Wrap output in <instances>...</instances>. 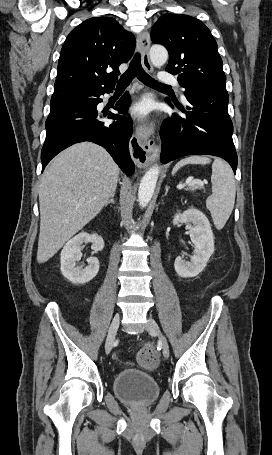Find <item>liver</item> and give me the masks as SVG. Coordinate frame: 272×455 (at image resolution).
I'll return each instance as SVG.
<instances>
[{"label": "liver", "instance_id": "1", "mask_svg": "<svg viewBox=\"0 0 272 455\" xmlns=\"http://www.w3.org/2000/svg\"><path fill=\"white\" fill-rule=\"evenodd\" d=\"M119 168L99 145L83 142L55 157L40 187L37 262L52 258L101 211L115 192Z\"/></svg>", "mask_w": 272, "mask_h": 455}]
</instances>
